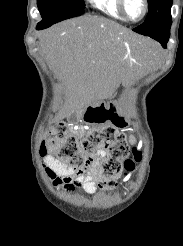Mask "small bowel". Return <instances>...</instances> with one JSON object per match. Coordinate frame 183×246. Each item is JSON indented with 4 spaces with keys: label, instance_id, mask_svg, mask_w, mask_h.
<instances>
[{
    "label": "small bowel",
    "instance_id": "1",
    "mask_svg": "<svg viewBox=\"0 0 183 246\" xmlns=\"http://www.w3.org/2000/svg\"><path fill=\"white\" fill-rule=\"evenodd\" d=\"M131 141H134L133 137H131ZM105 156L106 152L104 149H97L92 161L83 170H75L49 156L46 158L48 175L53 180L55 186H61L67 192L82 189L84 192L92 194L96 191L99 164Z\"/></svg>",
    "mask_w": 183,
    "mask_h": 246
}]
</instances>
